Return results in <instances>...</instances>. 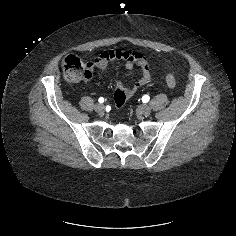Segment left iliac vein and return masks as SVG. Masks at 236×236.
<instances>
[{
  "instance_id": "obj_1",
  "label": "left iliac vein",
  "mask_w": 236,
  "mask_h": 236,
  "mask_svg": "<svg viewBox=\"0 0 236 236\" xmlns=\"http://www.w3.org/2000/svg\"><path fill=\"white\" fill-rule=\"evenodd\" d=\"M139 110L143 115H149L151 113V108L147 104L141 105Z\"/></svg>"
}]
</instances>
